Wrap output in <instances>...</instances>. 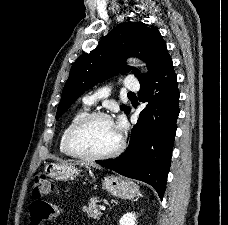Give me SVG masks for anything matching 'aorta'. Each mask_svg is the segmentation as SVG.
<instances>
[{
    "mask_svg": "<svg viewBox=\"0 0 228 225\" xmlns=\"http://www.w3.org/2000/svg\"><path fill=\"white\" fill-rule=\"evenodd\" d=\"M129 62H132V64H139L140 60H138V58H129ZM140 66H144V64H140Z\"/></svg>",
    "mask_w": 228,
    "mask_h": 225,
    "instance_id": "762f6f07",
    "label": "aorta"
}]
</instances>
